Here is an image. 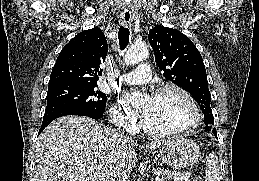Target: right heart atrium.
Instances as JSON below:
<instances>
[{
	"instance_id": "1",
	"label": "right heart atrium",
	"mask_w": 259,
	"mask_h": 181,
	"mask_svg": "<svg viewBox=\"0 0 259 181\" xmlns=\"http://www.w3.org/2000/svg\"><path fill=\"white\" fill-rule=\"evenodd\" d=\"M110 115L112 122L119 128L125 129L127 131H133L136 127L135 116L122 108L119 105H113L110 108Z\"/></svg>"
}]
</instances>
